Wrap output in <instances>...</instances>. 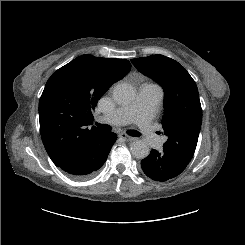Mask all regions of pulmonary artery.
I'll use <instances>...</instances> for the list:
<instances>
[{"mask_svg":"<svg viewBox=\"0 0 245 245\" xmlns=\"http://www.w3.org/2000/svg\"><path fill=\"white\" fill-rule=\"evenodd\" d=\"M162 99L163 91L158 85L144 83L140 85L138 93L131 103L118 107L113 112L99 118L98 121L122 125L133 120L147 142L155 141L161 145L152 120L159 111Z\"/></svg>","mask_w":245,"mask_h":245,"instance_id":"1","label":"pulmonary artery"}]
</instances>
